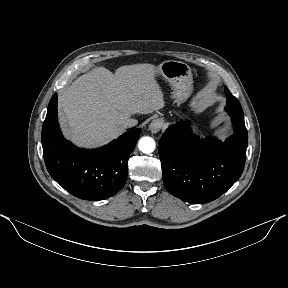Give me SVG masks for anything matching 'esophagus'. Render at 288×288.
I'll return each mask as SVG.
<instances>
[{"label": "esophagus", "mask_w": 288, "mask_h": 288, "mask_svg": "<svg viewBox=\"0 0 288 288\" xmlns=\"http://www.w3.org/2000/svg\"><path fill=\"white\" fill-rule=\"evenodd\" d=\"M162 127H163V120L157 118V119L152 120V122L149 125V130L152 133H157L161 130Z\"/></svg>", "instance_id": "34e87169"}]
</instances>
